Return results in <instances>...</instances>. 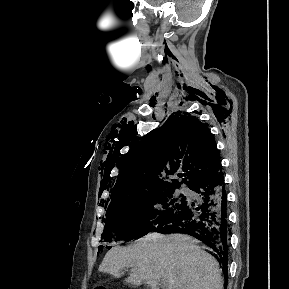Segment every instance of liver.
Instances as JSON below:
<instances>
[{
    "mask_svg": "<svg viewBox=\"0 0 289 289\" xmlns=\"http://www.w3.org/2000/svg\"><path fill=\"white\" fill-rule=\"evenodd\" d=\"M195 243L187 235L150 233L126 248H112L99 271L119 278L131 267L127 281L151 289H222L218 262Z\"/></svg>",
    "mask_w": 289,
    "mask_h": 289,
    "instance_id": "liver-1",
    "label": "liver"
}]
</instances>
